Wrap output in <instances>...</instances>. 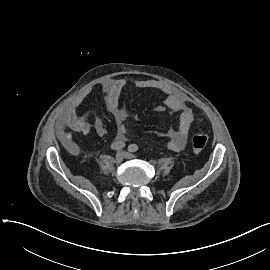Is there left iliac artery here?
<instances>
[{
    "instance_id": "obj_1",
    "label": "left iliac artery",
    "mask_w": 270,
    "mask_h": 270,
    "mask_svg": "<svg viewBox=\"0 0 270 270\" xmlns=\"http://www.w3.org/2000/svg\"><path fill=\"white\" fill-rule=\"evenodd\" d=\"M138 150V146L136 144H131L128 146V151L136 152Z\"/></svg>"
}]
</instances>
